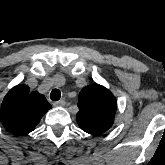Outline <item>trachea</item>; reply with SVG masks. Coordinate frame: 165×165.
I'll list each match as a JSON object with an SVG mask.
<instances>
[{"instance_id":"obj_1","label":"trachea","mask_w":165,"mask_h":165,"mask_svg":"<svg viewBox=\"0 0 165 165\" xmlns=\"http://www.w3.org/2000/svg\"><path fill=\"white\" fill-rule=\"evenodd\" d=\"M51 100L58 101L61 97V92L58 89H53L50 94Z\"/></svg>"}]
</instances>
